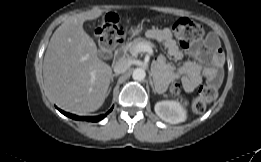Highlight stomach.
Listing matches in <instances>:
<instances>
[{
  "instance_id": "obj_1",
  "label": "stomach",
  "mask_w": 261,
  "mask_h": 162,
  "mask_svg": "<svg viewBox=\"0 0 261 162\" xmlns=\"http://www.w3.org/2000/svg\"><path fill=\"white\" fill-rule=\"evenodd\" d=\"M141 31H142L141 28H132V29L130 30V33H131L133 36H135V35H138Z\"/></svg>"
}]
</instances>
